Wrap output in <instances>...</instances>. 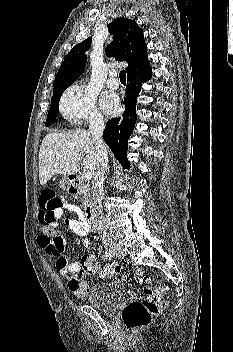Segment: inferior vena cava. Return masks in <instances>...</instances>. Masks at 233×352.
<instances>
[{
  "label": "inferior vena cava",
  "instance_id": "inferior-vena-cava-1",
  "mask_svg": "<svg viewBox=\"0 0 233 352\" xmlns=\"http://www.w3.org/2000/svg\"><path fill=\"white\" fill-rule=\"evenodd\" d=\"M105 125L102 115L94 114L89 123V132L96 145L97 163L93 179V199L95 203L94 223L98 226V232L105 246L112 243V236L105 227V218L102 213L101 201L103 198V185L105 174L108 169V155L102 135Z\"/></svg>",
  "mask_w": 233,
  "mask_h": 352
}]
</instances>
